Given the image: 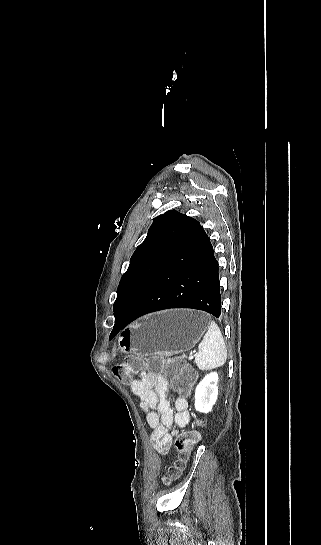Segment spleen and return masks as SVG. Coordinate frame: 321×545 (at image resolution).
<instances>
[{
  "label": "spleen",
  "instance_id": "obj_1",
  "mask_svg": "<svg viewBox=\"0 0 321 545\" xmlns=\"http://www.w3.org/2000/svg\"><path fill=\"white\" fill-rule=\"evenodd\" d=\"M198 349L199 353L195 357V363L200 371H211V369L225 365L227 349L223 335L215 321H211Z\"/></svg>",
  "mask_w": 321,
  "mask_h": 545
}]
</instances>
